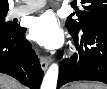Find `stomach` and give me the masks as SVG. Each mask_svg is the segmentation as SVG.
I'll return each instance as SVG.
<instances>
[{
	"label": "stomach",
	"instance_id": "stomach-1",
	"mask_svg": "<svg viewBox=\"0 0 107 89\" xmlns=\"http://www.w3.org/2000/svg\"><path fill=\"white\" fill-rule=\"evenodd\" d=\"M67 89H78L76 85H72L71 87H68Z\"/></svg>",
	"mask_w": 107,
	"mask_h": 89
}]
</instances>
